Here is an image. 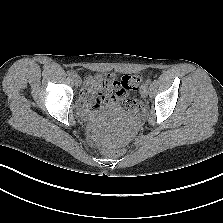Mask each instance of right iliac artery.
<instances>
[{
  "label": "right iliac artery",
  "instance_id": "right-iliac-artery-1",
  "mask_svg": "<svg viewBox=\"0 0 223 223\" xmlns=\"http://www.w3.org/2000/svg\"><path fill=\"white\" fill-rule=\"evenodd\" d=\"M68 75L72 77V76L75 75V73H74V71H69V72H68Z\"/></svg>",
  "mask_w": 223,
  "mask_h": 223
}]
</instances>
